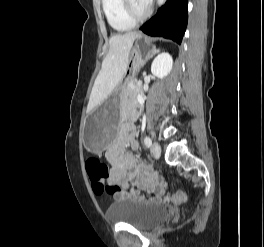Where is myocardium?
Returning a JSON list of instances; mask_svg holds the SVG:
<instances>
[{"instance_id":"1","label":"myocardium","mask_w":264,"mask_h":247,"mask_svg":"<svg viewBox=\"0 0 264 247\" xmlns=\"http://www.w3.org/2000/svg\"><path fill=\"white\" fill-rule=\"evenodd\" d=\"M123 8L127 17L135 23L144 21L152 13V8L147 6V9L143 13L138 14L133 7L132 0H123Z\"/></svg>"}]
</instances>
